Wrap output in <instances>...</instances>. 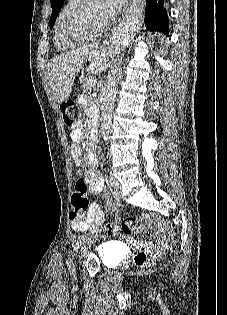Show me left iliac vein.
I'll return each instance as SVG.
<instances>
[{"label":"left iliac vein","mask_w":227,"mask_h":315,"mask_svg":"<svg viewBox=\"0 0 227 315\" xmlns=\"http://www.w3.org/2000/svg\"><path fill=\"white\" fill-rule=\"evenodd\" d=\"M113 186H114V193H115L116 198L117 199H122L123 195H122L121 186H120L119 181H117L115 179V183H114ZM92 242H93V238L92 237H89L86 240H84V242L82 243V246H81V251L82 252L85 251L87 249V247L89 245H91Z\"/></svg>","instance_id":"1"}]
</instances>
